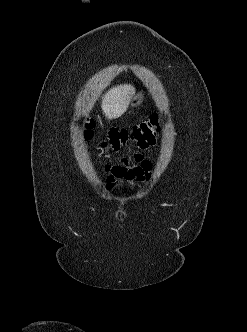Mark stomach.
Segmentation results:
<instances>
[{"label":"stomach","mask_w":247,"mask_h":332,"mask_svg":"<svg viewBox=\"0 0 247 332\" xmlns=\"http://www.w3.org/2000/svg\"><path fill=\"white\" fill-rule=\"evenodd\" d=\"M143 100H144L143 93H141V92L137 93L132 97L129 105L131 108L138 107L142 104Z\"/></svg>","instance_id":"stomach-1"}]
</instances>
